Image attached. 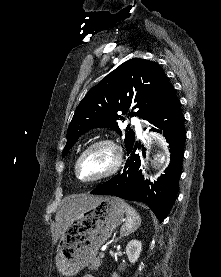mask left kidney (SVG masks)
I'll return each mask as SVG.
<instances>
[{
    "label": "left kidney",
    "mask_w": 221,
    "mask_h": 277,
    "mask_svg": "<svg viewBox=\"0 0 221 277\" xmlns=\"http://www.w3.org/2000/svg\"><path fill=\"white\" fill-rule=\"evenodd\" d=\"M142 251V243L138 240H131L126 246V254L129 261L134 264L140 257ZM112 277H118L116 273H113Z\"/></svg>",
    "instance_id": "left-kidney-1"
}]
</instances>
